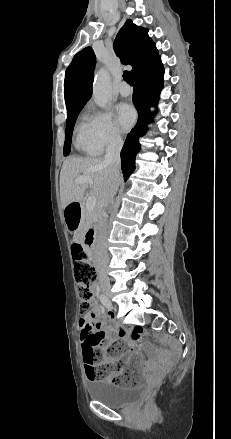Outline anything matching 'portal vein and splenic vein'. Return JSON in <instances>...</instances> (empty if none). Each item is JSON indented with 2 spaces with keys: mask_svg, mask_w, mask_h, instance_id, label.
Segmentation results:
<instances>
[{
  "mask_svg": "<svg viewBox=\"0 0 231 439\" xmlns=\"http://www.w3.org/2000/svg\"><path fill=\"white\" fill-rule=\"evenodd\" d=\"M92 180L89 177L86 176H79L76 178L75 183L77 184H83V183H91ZM96 206V198L94 196H89L86 201V207L89 211L93 212L94 208Z\"/></svg>",
  "mask_w": 231,
  "mask_h": 439,
  "instance_id": "18ae733b",
  "label": "portal vein and splenic vein"
}]
</instances>
